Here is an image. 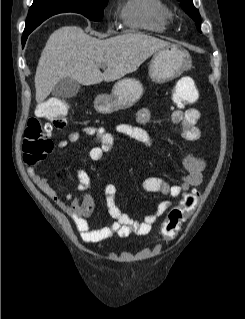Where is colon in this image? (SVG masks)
I'll use <instances>...</instances> for the list:
<instances>
[{
    "instance_id": "colon-1",
    "label": "colon",
    "mask_w": 245,
    "mask_h": 319,
    "mask_svg": "<svg viewBox=\"0 0 245 319\" xmlns=\"http://www.w3.org/2000/svg\"><path fill=\"white\" fill-rule=\"evenodd\" d=\"M192 99L193 93L185 94L175 89L174 100L178 107L190 104ZM68 110L69 103L65 99L54 98L41 103L38 107V116L28 120L22 145L23 161L27 166L40 164L52 152L51 134L65 125ZM41 118H45L47 122L43 123ZM200 198L199 191L189 192L168 212L161 229L163 238L172 239L177 235L184 222L196 209Z\"/></svg>"
}]
</instances>
